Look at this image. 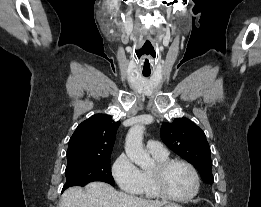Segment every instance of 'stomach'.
I'll list each match as a JSON object with an SVG mask.
<instances>
[{
  "label": "stomach",
  "instance_id": "0dacf381",
  "mask_svg": "<svg viewBox=\"0 0 261 207\" xmlns=\"http://www.w3.org/2000/svg\"><path fill=\"white\" fill-rule=\"evenodd\" d=\"M164 207H182V206H181V205H178V204H176V203H171V202H169V203L165 204Z\"/></svg>",
  "mask_w": 261,
  "mask_h": 207
}]
</instances>
